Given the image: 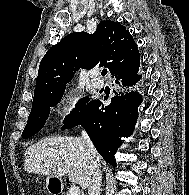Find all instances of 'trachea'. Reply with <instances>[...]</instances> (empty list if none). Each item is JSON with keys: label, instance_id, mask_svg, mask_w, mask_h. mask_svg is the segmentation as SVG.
Segmentation results:
<instances>
[{"label": "trachea", "instance_id": "1", "mask_svg": "<svg viewBox=\"0 0 189 195\" xmlns=\"http://www.w3.org/2000/svg\"><path fill=\"white\" fill-rule=\"evenodd\" d=\"M106 74H107V69H103L102 72H101V75L105 76Z\"/></svg>", "mask_w": 189, "mask_h": 195}]
</instances>
